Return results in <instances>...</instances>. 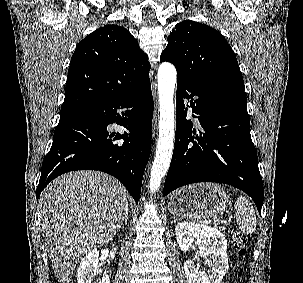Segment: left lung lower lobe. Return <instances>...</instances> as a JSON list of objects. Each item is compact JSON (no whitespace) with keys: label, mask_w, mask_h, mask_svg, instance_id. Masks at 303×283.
<instances>
[{"label":"left lung lower lobe","mask_w":303,"mask_h":283,"mask_svg":"<svg viewBox=\"0 0 303 283\" xmlns=\"http://www.w3.org/2000/svg\"><path fill=\"white\" fill-rule=\"evenodd\" d=\"M186 106L199 120L201 130L193 129L191 120H186ZM176 108L175 147L163 196L191 183H224L247 193L261 214L263 183L245 92L178 77Z\"/></svg>","instance_id":"obj_1"}]
</instances>
